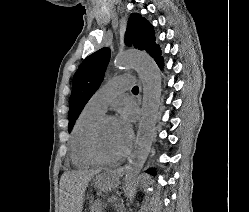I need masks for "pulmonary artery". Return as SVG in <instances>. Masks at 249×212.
<instances>
[{"mask_svg": "<svg viewBox=\"0 0 249 212\" xmlns=\"http://www.w3.org/2000/svg\"><path fill=\"white\" fill-rule=\"evenodd\" d=\"M129 75H119L108 80L89 99L90 105L105 112L109 103L118 95L131 88Z\"/></svg>", "mask_w": 249, "mask_h": 212, "instance_id": "obj_1", "label": "pulmonary artery"}]
</instances>
